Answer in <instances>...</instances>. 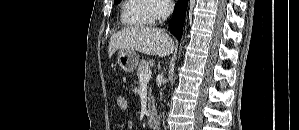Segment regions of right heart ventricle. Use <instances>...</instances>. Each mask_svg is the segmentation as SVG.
<instances>
[{
  "label": "right heart ventricle",
  "mask_w": 299,
  "mask_h": 130,
  "mask_svg": "<svg viewBox=\"0 0 299 130\" xmlns=\"http://www.w3.org/2000/svg\"><path fill=\"white\" fill-rule=\"evenodd\" d=\"M154 5L150 0H126L124 2L121 21L126 26L145 27L155 23Z\"/></svg>",
  "instance_id": "right-heart-ventricle-1"
}]
</instances>
